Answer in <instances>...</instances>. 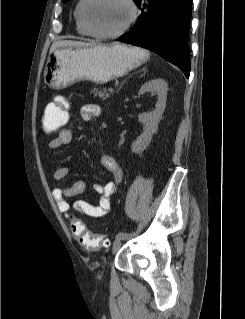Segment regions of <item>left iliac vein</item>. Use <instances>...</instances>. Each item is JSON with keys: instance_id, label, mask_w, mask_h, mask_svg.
<instances>
[{"instance_id": "4c4485c4", "label": "left iliac vein", "mask_w": 245, "mask_h": 319, "mask_svg": "<svg viewBox=\"0 0 245 319\" xmlns=\"http://www.w3.org/2000/svg\"><path fill=\"white\" fill-rule=\"evenodd\" d=\"M125 238H116L114 243H113V247H112V253L115 254L121 247L122 245V240H124Z\"/></svg>"}]
</instances>
